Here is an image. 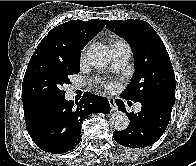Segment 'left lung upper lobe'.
<instances>
[{"label": "left lung upper lobe", "instance_id": "5c2ea615", "mask_svg": "<svg viewBox=\"0 0 196 166\" xmlns=\"http://www.w3.org/2000/svg\"><path fill=\"white\" fill-rule=\"evenodd\" d=\"M106 28L124 38L134 54L136 73L122 97L133 102L158 99L173 105L174 70L164 43L151 25L143 20H112Z\"/></svg>", "mask_w": 196, "mask_h": 166}]
</instances>
